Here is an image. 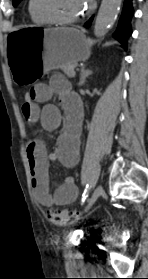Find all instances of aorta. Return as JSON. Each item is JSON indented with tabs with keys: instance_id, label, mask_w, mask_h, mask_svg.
Returning <instances> with one entry per match:
<instances>
[{
	"instance_id": "obj_1",
	"label": "aorta",
	"mask_w": 148,
	"mask_h": 279,
	"mask_svg": "<svg viewBox=\"0 0 148 279\" xmlns=\"http://www.w3.org/2000/svg\"><path fill=\"white\" fill-rule=\"evenodd\" d=\"M122 0H102L94 25V34L102 37L114 25Z\"/></svg>"
}]
</instances>
